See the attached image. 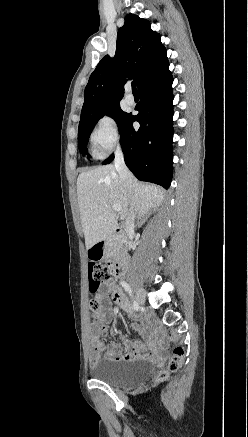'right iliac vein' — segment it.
<instances>
[{
	"label": "right iliac vein",
	"instance_id": "1",
	"mask_svg": "<svg viewBox=\"0 0 248 437\" xmlns=\"http://www.w3.org/2000/svg\"><path fill=\"white\" fill-rule=\"evenodd\" d=\"M136 300L138 302V304L143 305L145 303V292L144 290L137 286L136 287Z\"/></svg>",
	"mask_w": 248,
	"mask_h": 437
}]
</instances>
